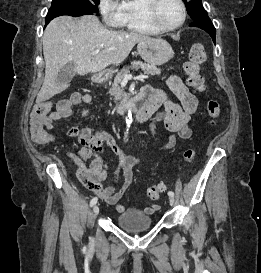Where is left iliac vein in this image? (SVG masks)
Instances as JSON below:
<instances>
[{"label": "left iliac vein", "mask_w": 261, "mask_h": 273, "mask_svg": "<svg viewBox=\"0 0 261 273\" xmlns=\"http://www.w3.org/2000/svg\"><path fill=\"white\" fill-rule=\"evenodd\" d=\"M169 203L171 206L175 204V199L173 197H169Z\"/></svg>", "instance_id": "obj_1"}]
</instances>
